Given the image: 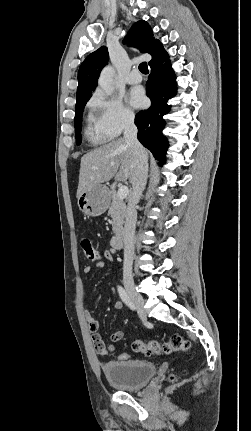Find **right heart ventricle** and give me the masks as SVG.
Returning <instances> with one entry per match:
<instances>
[{"label":"right heart ventricle","mask_w":251,"mask_h":431,"mask_svg":"<svg viewBox=\"0 0 251 431\" xmlns=\"http://www.w3.org/2000/svg\"><path fill=\"white\" fill-rule=\"evenodd\" d=\"M87 133L92 137V138H96V139H102L100 138L94 131V129L88 128Z\"/></svg>","instance_id":"obj_1"}]
</instances>
